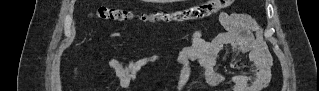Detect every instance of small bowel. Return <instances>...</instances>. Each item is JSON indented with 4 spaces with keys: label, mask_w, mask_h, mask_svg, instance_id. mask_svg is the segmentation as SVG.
Masks as SVG:
<instances>
[{
    "label": "small bowel",
    "mask_w": 319,
    "mask_h": 91,
    "mask_svg": "<svg viewBox=\"0 0 319 91\" xmlns=\"http://www.w3.org/2000/svg\"><path fill=\"white\" fill-rule=\"evenodd\" d=\"M220 22L225 32L213 40L203 38L200 30L191 37V44L173 55L181 67V82L189 73V61L200 65L203 81L212 87L227 91H260L270 81L269 68L263 60L269 56L264 41L257 34V24L249 16L240 13H222ZM113 37H118L114 34ZM227 52L230 66L239 69V57L247 54L252 73L226 77L218 70V57ZM168 58L164 55H150L139 60H131L127 64L111 58L108 66L118 78L119 85L124 90H130L137 73L147 64Z\"/></svg>",
    "instance_id": "obj_1"
}]
</instances>
